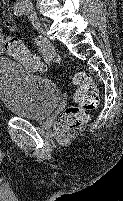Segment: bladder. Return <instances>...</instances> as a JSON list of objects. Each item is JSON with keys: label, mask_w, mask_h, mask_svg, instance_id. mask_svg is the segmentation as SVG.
Listing matches in <instances>:
<instances>
[{"label": "bladder", "mask_w": 123, "mask_h": 201, "mask_svg": "<svg viewBox=\"0 0 123 201\" xmlns=\"http://www.w3.org/2000/svg\"><path fill=\"white\" fill-rule=\"evenodd\" d=\"M59 99L53 81L27 72L17 60L0 57V102L15 116L42 120L53 112Z\"/></svg>", "instance_id": "1"}]
</instances>
